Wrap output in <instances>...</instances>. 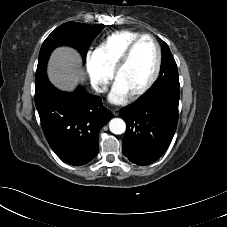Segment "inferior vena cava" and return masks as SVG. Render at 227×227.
<instances>
[{"mask_svg": "<svg viewBox=\"0 0 227 227\" xmlns=\"http://www.w3.org/2000/svg\"><path fill=\"white\" fill-rule=\"evenodd\" d=\"M92 89L96 94H100L106 91V86L100 85L95 82L92 84Z\"/></svg>", "mask_w": 227, "mask_h": 227, "instance_id": "602c4592", "label": "inferior vena cava"}]
</instances>
